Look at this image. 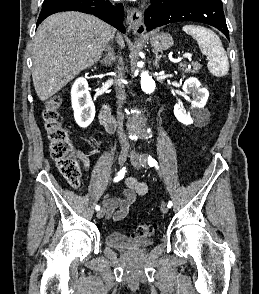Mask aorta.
<instances>
[{"label":"aorta","instance_id":"762f6f07","mask_svg":"<svg viewBox=\"0 0 259 294\" xmlns=\"http://www.w3.org/2000/svg\"><path fill=\"white\" fill-rule=\"evenodd\" d=\"M156 87L155 81L149 75L147 71L141 73V88L146 94L154 92ZM128 124L131 128H134L137 134H141L146 126V119L143 115L134 114L129 120Z\"/></svg>","mask_w":259,"mask_h":294}]
</instances>
